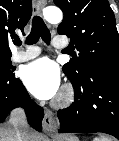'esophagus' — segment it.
Wrapping results in <instances>:
<instances>
[{
  "label": "esophagus",
  "mask_w": 119,
  "mask_h": 141,
  "mask_svg": "<svg viewBox=\"0 0 119 141\" xmlns=\"http://www.w3.org/2000/svg\"><path fill=\"white\" fill-rule=\"evenodd\" d=\"M46 4L45 0H38L33 4V14L36 16L41 15V8ZM43 130L48 133L52 134L57 130V121L54 118L53 113L46 109L43 122H42Z\"/></svg>",
  "instance_id": "esophagus-1"
}]
</instances>
